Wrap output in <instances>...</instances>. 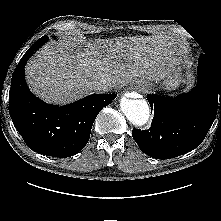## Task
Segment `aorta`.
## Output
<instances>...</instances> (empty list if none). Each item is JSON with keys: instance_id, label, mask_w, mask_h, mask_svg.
Returning a JSON list of instances; mask_svg holds the SVG:
<instances>
[{"instance_id": "762f6f07", "label": "aorta", "mask_w": 221, "mask_h": 221, "mask_svg": "<svg viewBox=\"0 0 221 221\" xmlns=\"http://www.w3.org/2000/svg\"><path fill=\"white\" fill-rule=\"evenodd\" d=\"M120 107L126 118L135 126H143L149 120L150 109L144 99L122 97Z\"/></svg>"}]
</instances>
